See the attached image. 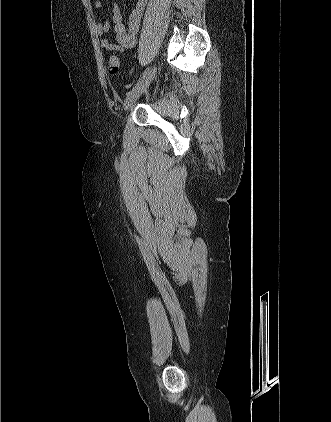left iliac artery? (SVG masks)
Wrapping results in <instances>:
<instances>
[{
    "label": "left iliac artery",
    "instance_id": "left-iliac-artery-1",
    "mask_svg": "<svg viewBox=\"0 0 331 422\" xmlns=\"http://www.w3.org/2000/svg\"><path fill=\"white\" fill-rule=\"evenodd\" d=\"M149 67L148 68H146L145 70H144V72L142 73V75L140 76V78L138 79V81L136 82V84L133 86V88H132V90L135 88V87H137L138 86V84L143 80V78L145 77V75L148 73V71H149ZM130 92H128V94H129Z\"/></svg>",
    "mask_w": 331,
    "mask_h": 422
}]
</instances>
